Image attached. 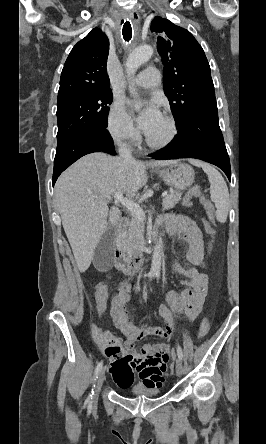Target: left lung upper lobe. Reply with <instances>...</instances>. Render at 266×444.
Segmentation results:
<instances>
[{
    "label": "left lung upper lobe",
    "mask_w": 266,
    "mask_h": 444,
    "mask_svg": "<svg viewBox=\"0 0 266 444\" xmlns=\"http://www.w3.org/2000/svg\"><path fill=\"white\" fill-rule=\"evenodd\" d=\"M151 31L162 33L157 49L164 65L163 87L177 125L196 110L217 107L210 66L193 35L161 17L153 19Z\"/></svg>",
    "instance_id": "left-lung-upper-lobe-1"
}]
</instances>
